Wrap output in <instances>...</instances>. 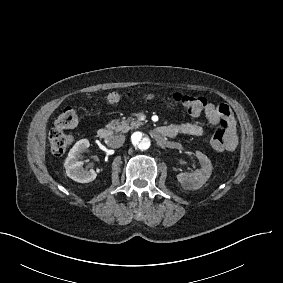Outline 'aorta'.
I'll return each instance as SVG.
<instances>
[{
    "instance_id": "762f6f07",
    "label": "aorta",
    "mask_w": 283,
    "mask_h": 283,
    "mask_svg": "<svg viewBox=\"0 0 283 283\" xmlns=\"http://www.w3.org/2000/svg\"><path fill=\"white\" fill-rule=\"evenodd\" d=\"M131 144L138 151H146L151 147V139L146 133L136 131L131 135Z\"/></svg>"
}]
</instances>
